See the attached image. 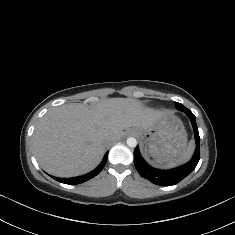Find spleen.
Returning a JSON list of instances; mask_svg holds the SVG:
<instances>
[{
    "label": "spleen",
    "instance_id": "spleen-1",
    "mask_svg": "<svg viewBox=\"0 0 235 235\" xmlns=\"http://www.w3.org/2000/svg\"><path fill=\"white\" fill-rule=\"evenodd\" d=\"M194 149H195V143H194V141H190L188 144V147L185 149V151L183 152V154L179 158L168 162L167 164H165L164 166H162L160 168L170 169V168H174L176 166H179V165H182V164L188 162L193 155Z\"/></svg>",
    "mask_w": 235,
    "mask_h": 235
}]
</instances>
